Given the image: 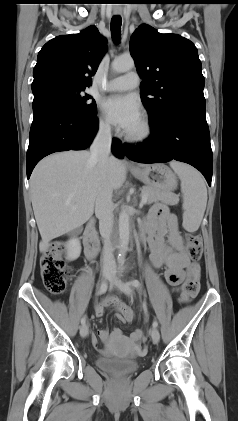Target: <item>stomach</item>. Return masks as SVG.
Here are the masks:
<instances>
[{
	"label": "stomach",
	"instance_id": "obj_1",
	"mask_svg": "<svg viewBox=\"0 0 238 421\" xmlns=\"http://www.w3.org/2000/svg\"><path fill=\"white\" fill-rule=\"evenodd\" d=\"M131 173L148 187L171 192L177 188L175 174L164 164L145 165L142 168L131 169Z\"/></svg>",
	"mask_w": 238,
	"mask_h": 421
}]
</instances>
